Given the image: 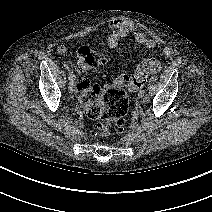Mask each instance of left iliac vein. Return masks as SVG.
I'll list each match as a JSON object with an SVG mask.
<instances>
[{
  "mask_svg": "<svg viewBox=\"0 0 212 212\" xmlns=\"http://www.w3.org/2000/svg\"><path fill=\"white\" fill-rule=\"evenodd\" d=\"M138 96H139V98H141V99L143 98V100H142L143 103H146V102H145V99H144V98H145V97H144V92H143L142 90L139 91Z\"/></svg>",
  "mask_w": 212,
  "mask_h": 212,
  "instance_id": "4c4485c4",
  "label": "left iliac vein"
}]
</instances>
